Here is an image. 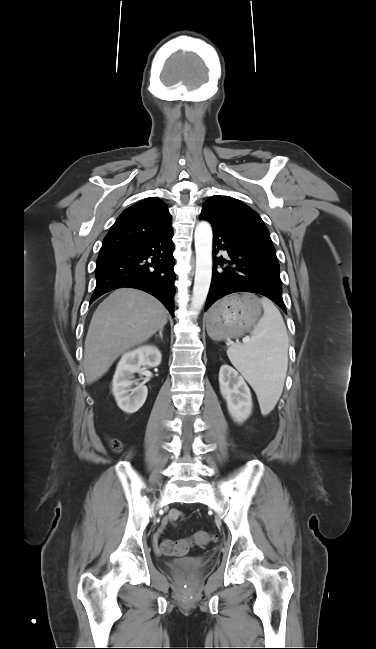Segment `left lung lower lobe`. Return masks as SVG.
<instances>
[{
  "instance_id": "left-lung-lower-lobe-1",
  "label": "left lung lower lobe",
  "mask_w": 376,
  "mask_h": 649,
  "mask_svg": "<svg viewBox=\"0 0 376 649\" xmlns=\"http://www.w3.org/2000/svg\"><path fill=\"white\" fill-rule=\"evenodd\" d=\"M212 228L213 254L216 255L218 250L223 249L227 251L229 259L215 258L205 311L215 301L228 294L252 292L271 299L286 313L277 257L225 230L213 226ZM218 264H227V267L216 268Z\"/></svg>"
}]
</instances>
